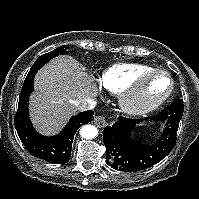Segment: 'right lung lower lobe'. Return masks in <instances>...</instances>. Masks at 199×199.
<instances>
[{
    "instance_id": "98d812e1",
    "label": "right lung lower lobe",
    "mask_w": 199,
    "mask_h": 199,
    "mask_svg": "<svg viewBox=\"0 0 199 199\" xmlns=\"http://www.w3.org/2000/svg\"><path fill=\"white\" fill-rule=\"evenodd\" d=\"M45 63L47 62L34 63L26 76L20 93L14 124L20 140L31 155L53 164H61L70 159L75 132L79 127L91 121L94 112L85 111L72 117L66 127L53 137L42 136L36 132L30 122L28 101L34 90L35 74Z\"/></svg>"
}]
</instances>
